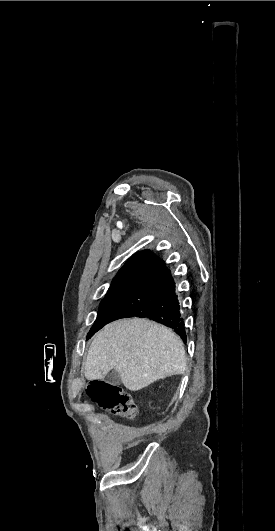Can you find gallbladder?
Instances as JSON below:
<instances>
[{"mask_svg":"<svg viewBox=\"0 0 275 531\" xmlns=\"http://www.w3.org/2000/svg\"><path fill=\"white\" fill-rule=\"evenodd\" d=\"M105 381L108 383V385H113V387H116V385H121L122 383L120 373H117V371H114V369H112V371L106 375Z\"/></svg>","mask_w":275,"mask_h":531,"instance_id":"gallbladder-1","label":"gallbladder"}]
</instances>
